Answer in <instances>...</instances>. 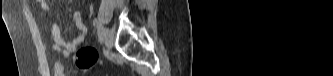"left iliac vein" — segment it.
Returning <instances> with one entry per match:
<instances>
[{
    "instance_id": "left-iliac-vein-1",
    "label": "left iliac vein",
    "mask_w": 333,
    "mask_h": 76,
    "mask_svg": "<svg viewBox=\"0 0 333 76\" xmlns=\"http://www.w3.org/2000/svg\"><path fill=\"white\" fill-rule=\"evenodd\" d=\"M103 37H104L105 46L107 47V49H111L114 40L113 31L108 28H105L103 31Z\"/></svg>"
}]
</instances>
